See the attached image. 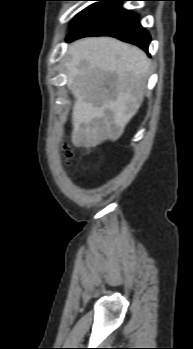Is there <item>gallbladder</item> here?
Returning <instances> with one entry per match:
<instances>
[{"label": "gallbladder", "instance_id": "gallbladder-1", "mask_svg": "<svg viewBox=\"0 0 193 349\" xmlns=\"http://www.w3.org/2000/svg\"><path fill=\"white\" fill-rule=\"evenodd\" d=\"M109 77H114V74H109ZM107 115H110L108 112H107Z\"/></svg>", "mask_w": 193, "mask_h": 349}]
</instances>
